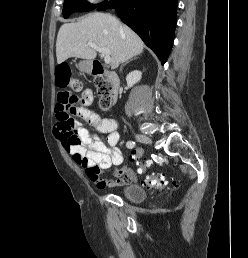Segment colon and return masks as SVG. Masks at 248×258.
<instances>
[{"label": "colon", "instance_id": "obj_1", "mask_svg": "<svg viewBox=\"0 0 248 258\" xmlns=\"http://www.w3.org/2000/svg\"><path fill=\"white\" fill-rule=\"evenodd\" d=\"M59 73L57 77V82L61 87L70 86V91L63 92L56 104V115L58 124L61 127L63 133L66 134L67 138L71 142H78V136L73 126V110L74 106L78 102L77 93L81 90L82 84L76 79L70 78L69 68L66 65H59ZM95 87L99 95V106L102 110H108L112 104L111 91L112 86L107 78L104 76H98L94 78ZM136 151H132L130 155V160L135 164L136 175H141L142 171H147V163H142L143 158V148L138 146ZM87 174L95 180L98 179V170L96 166H91L86 168ZM143 184L148 188H163L167 185V180L160 175L158 172L144 175L142 178Z\"/></svg>", "mask_w": 248, "mask_h": 258}]
</instances>
